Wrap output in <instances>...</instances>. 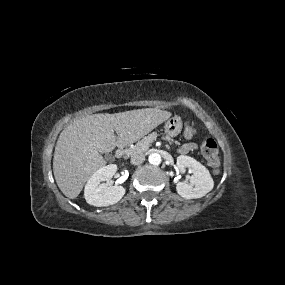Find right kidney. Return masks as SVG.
<instances>
[{"label": "right kidney", "mask_w": 285, "mask_h": 285, "mask_svg": "<svg viewBox=\"0 0 285 285\" xmlns=\"http://www.w3.org/2000/svg\"><path fill=\"white\" fill-rule=\"evenodd\" d=\"M117 171L115 164H110L98 169L87 181L84 189L86 202L96 207H104L117 203L125 194L123 186H107Z\"/></svg>", "instance_id": "ca27d5eb"}]
</instances>
